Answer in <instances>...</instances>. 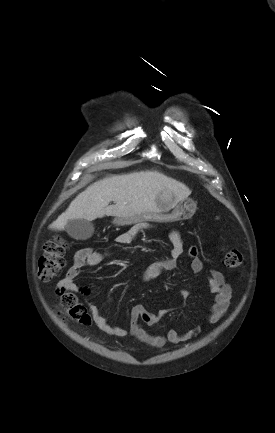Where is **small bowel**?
<instances>
[{"instance_id":"1","label":"small bowel","mask_w":275,"mask_h":433,"mask_svg":"<svg viewBox=\"0 0 275 433\" xmlns=\"http://www.w3.org/2000/svg\"><path fill=\"white\" fill-rule=\"evenodd\" d=\"M137 232L138 231L136 229H130L126 232H123L117 236L116 242L123 246L130 245L134 241ZM170 240L172 243V248L170 250L169 257L156 261L143 269L139 274V278L142 281L153 280L162 273L170 272L175 269L176 261L184 251L183 242L177 230H173L170 233ZM188 255L191 258V269L193 273H200L203 269V263L199 258L198 247L191 246L188 250ZM106 258L107 255L105 253L96 251L89 247L77 251L74 255L73 264L68 269L65 277L60 280L59 287L73 293L90 295L91 290L88 287L79 286L76 283V279L78 278L83 267L97 266ZM207 283L210 292L214 296V303L211 307L210 314L207 317V321L210 324H215L226 315L230 306L232 291L230 285L226 282L224 275L215 269L210 271ZM187 295L188 294L186 292L181 293L183 298H186ZM88 307L92 313L95 324L100 330L116 337H124L129 333L131 336L135 337L141 342L156 349L165 348L167 342L172 344H180L189 341L197 336V334L200 332V328L196 327L186 332H180L176 329H171L167 336L151 334L142 327V325L139 323V320L149 327H156L160 319L165 315L166 311L161 310L157 313H153L141 304H138L132 308L128 330L120 326L110 325L107 319L100 313L99 309L95 305L89 304Z\"/></svg>"}]
</instances>
